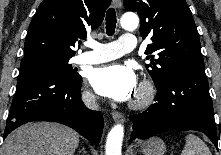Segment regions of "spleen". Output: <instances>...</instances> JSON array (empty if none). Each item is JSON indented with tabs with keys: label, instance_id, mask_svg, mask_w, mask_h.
Segmentation results:
<instances>
[{
	"label": "spleen",
	"instance_id": "obj_1",
	"mask_svg": "<svg viewBox=\"0 0 221 155\" xmlns=\"http://www.w3.org/2000/svg\"><path fill=\"white\" fill-rule=\"evenodd\" d=\"M180 155H212L205 142L194 134L186 136V144Z\"/></svg>",
	"mask_w": 221,
	"mask_h": 155
}]
</instances>
